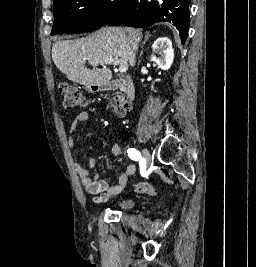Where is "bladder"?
I'll return each instance as SVG.
<instances>
[{"label":"bladder","mask_w":256,"mask_h":267,"mask_svg":"<svg viewBox=\"0 0 256 267\" xmlns=\"http://www.w3.org/2000/svg\"><path fill=\"white\" fill-rule=\"evenodd\" d=\"M135 198H123L116 204V209L125 210L127 208L133 207L136 204Z\"/></svg>","instance_id":"bladder-1"}]
</instances>
